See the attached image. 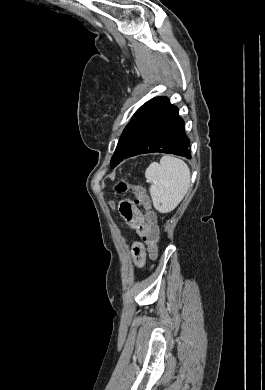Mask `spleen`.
Returning <instances> with one entry per match:
<instances>
[{"mask_svg": "<svg viewBox=\"0 0 265 390\" xmlns=\"http://www.w3.org/2000/svg\"><path fill=\"white\" fill-rule=\"evenodd\" d=\"M151 183L153 205L160 213H169L182 201L190 185V169L181 159L170 155L152 162L145 171Z\"/></svg>", "mask_w": 265, "mask_h": 390, "instance_id": "1", "label": "spleen"}]
</instances>
